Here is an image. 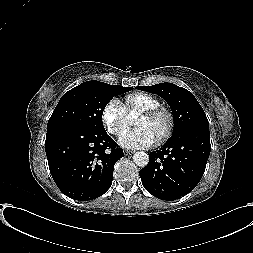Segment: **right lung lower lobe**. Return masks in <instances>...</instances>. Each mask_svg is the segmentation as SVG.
<instances>
[{
    "instance_id": "obj_1",
    "label": "right lung lower lobe",
    "mask_w": 253,
    "mask_h": 253,
    "mask_svg": "<svg viewBox=\"0 0 253 253\" xmlns=\"http://www.w3.org/2000/svg\"><path fill=\"white\" fill-rule=\"evenodd\" d=\"M105 130L78 125L47 129L45 151L51 175L62 193L87 201L111 186L115 163L123 150Z\"/></svg>"
}]
</instances>
